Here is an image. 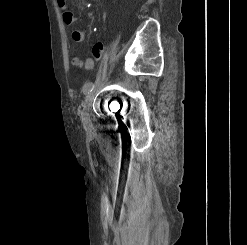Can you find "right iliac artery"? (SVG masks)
Instances as JSON below:
<instances>
[{"mask_svg":"<svg viewBox=\"0 0 247 245\" xmlns=\"http://www.w3.org/2000/svg\"><path fill=\"white\" fill-rule=\"evenodd\" d=\"M97 84L99 83L98 81L96 82ZM94 88V84L92 82H88L83 86V93L86 95L90 91H92Z\"/></svg>","mask_w":247,"mask_h":245,"instance_id":"1","label":"right iliac artery"}]
</instances>
